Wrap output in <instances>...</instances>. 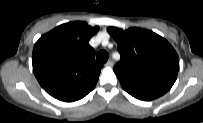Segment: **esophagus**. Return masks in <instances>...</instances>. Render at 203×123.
<instances>
[{
	"label": "esophagus",
	"mask_w": 203,
	"mask_h": 123,
	"mask_svg": "<svg viewBox=\"0 0 203 123\" xmlns=\"http://www.w3.org/2000/svg\"><path fill=\"white\" fill-rule=\"evenodd\" d=\"M113 64L114 63L112 60H108L105 65L111 67V66H113Z\"/></svg>",
	"instance_id": "1"
}]
</instances>
